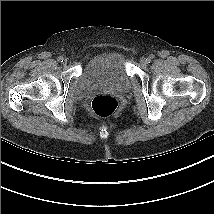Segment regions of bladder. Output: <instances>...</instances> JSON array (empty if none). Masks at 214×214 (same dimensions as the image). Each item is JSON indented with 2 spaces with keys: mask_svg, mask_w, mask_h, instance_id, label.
I'll return each mask as SVG.
<instances>
[{
  "mask_svg": "<svg viewBox=\"0 0 214 214\" xmlns=\"http://www.w3.org/2000/svg\"><path fill=\"white\" fill-rule=\"evenodd\" d=\"M129 86V77L122 55L116 51L101 53L84 66L75 89L76 96L87 94L97 87H111L118 92Z\"/></svg>",
  "mask_w": 214,
  "mask_h": 214,
  "instance_id": "bladder-1",
  "label": "bladder"
}]
</instances>
